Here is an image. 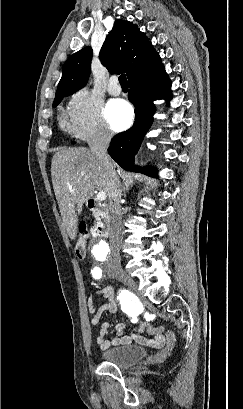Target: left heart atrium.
Instances as JSON below:
<instances>
[{"mask_svg":"<svg viewBox=\"0 0 243 409\" xmlns=\"http://www.w3.org/2000/svg\"><path fill=\"white\" fill-rule=\"evenodd\" d=\"M104 116L110 128L118 132L130 126L133 120V110L128 102L115 99L107 104Z\"/></svg>","mask_w":243,"mask_h":409,"instance_id":"1","label":"left heart atrium"}]
</instances>
